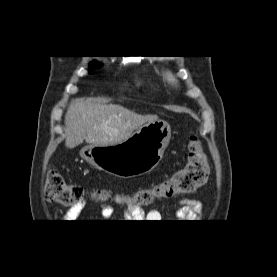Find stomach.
<instances>
[{
  "label": "stomach",
  "instance_id": "0dacf381",
  "mask_svg": "<svg viewBox=\"0 0 277 277\" xmlns=\"http://www.w3.org/2000/svg\"><path fill=\"white\" fill-rule=\"evenodd\" d=\"M170 137V125L157 120L144 124L121 143L85 146L80 156L106 173L133 177L149 172L159 164Z\"/></svg>",
  "mask_w": 277,
  "mask_h": 277
}]
</instances>
